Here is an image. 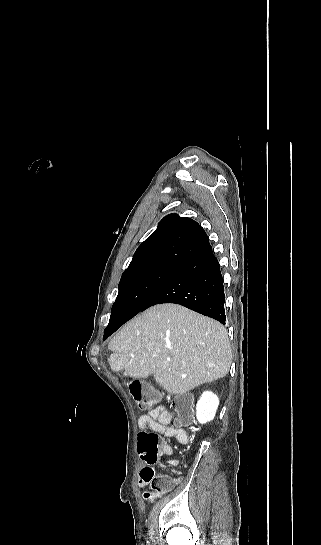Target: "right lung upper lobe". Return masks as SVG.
<instances>
[{"label": "right lung upper lobe", "instance_id": "right-lung-upper-lobe-1", "mask_svg": "<svg viewBox=\"0 0 321 545\" xmlns=\"http://www.w3.org/2000/svg\"><path fill=\"white\" fill-rule=\"evenodd\" d=\"M208 245V237L197 222L170 214L138 247L125 272L153 265L180 267Z\"/></svg>", "mask_w": 321, "mask_h": 545}]
</instances>
